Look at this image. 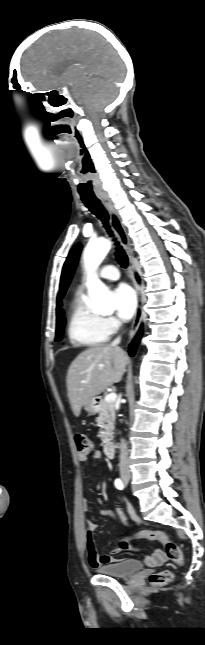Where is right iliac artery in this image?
<instances>
[{"label":"right iliac artery","instance_id":"82829eb1","mask_svg":"<svg viewBox=\"0 0 205 645\" xmlns=\"http://www.w3.org/2000/svg\"><path fill=\"white\" fill-rule=\"evenodd\" d=\"M115 486H116V488H117V489H119V490H122V489H123V487H124L123 482H122L120 479H116V480H115Z\"/></svg>","mask_w":205,"mask_h":645}]
</instances>
